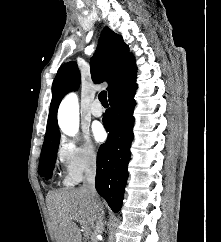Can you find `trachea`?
I'll return each instance as SVG.
<instances>
[{"label": "trachea", "instance_id": "3493384b", "mask_svg": "<svg viewBox=\"0 0 221 242\" xmlns=\"http://www.w3.org/2000/svg\"><path fill=\"white\" fill-rule=\"evenodd\" d=\"M98 98H99V100H100V102L102 103L103 106H108L107 92L106 91L100 92V94L98 95Z\"/></svg>", "mask_w": 221, "mask_h": 242}]
</instances>
